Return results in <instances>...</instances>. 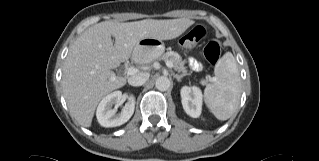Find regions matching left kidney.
I'll return each mask as SVG.
<instances>
[{
  "instance_id": "1",
  "label": "left kidney",
  "mask_w": 319,
  "mask_h": 161,
  "mask_svg": "<svg viewBox=\"0 0 319 161\" xmlns=\"http://www.w3.org/2000/svg\"><path fill=\"white\" fill-rule=\"evenodd\" d=\"M181 98L185 112L193 118L199 117L202 110L201 90L196 86H184L181 89Z\"/></svg>"
}]
</instances>
